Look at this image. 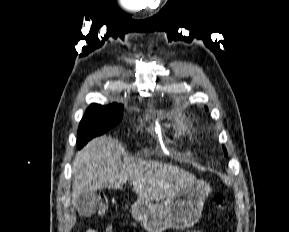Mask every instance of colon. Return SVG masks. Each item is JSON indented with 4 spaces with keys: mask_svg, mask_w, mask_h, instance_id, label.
<instances>
[{
    "mask_svg": "<svg viewBox=\"0 0 289 232\" xmlns=\"http://www.w3.org/2000/svg\"><path fill=\"white\" fill-rule=\"evenodd\" d=\"M214 202L216 206L220 209H224V197L222 194H216L214 197ZM108 211V201L105 196L101 197L100 200V213L106 214ZM189 232H204L202 230H194V231H189Z\"/></svg>",
    "mask_w": 289,
    "mask_h": 232,
    "instance_id": "1",
    "label": "colon"
}]
</instances>
